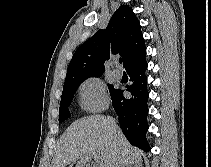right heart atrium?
I'll return each instance as SVG.
<instances>
[{"mask_svg": "<svg viewBox=\"0 0 211 167\" xmlns=\"http://www.w3.org/2000/svg\"><path fill=\"white\" fill-rule=\"evenodd\" d=\"M80 104L90 112L103 109L107 104V94L103 82L96 77L83 81L79 88Z\"/></svg>", "mask_w": 211, "mask_h": 167, "instance_id": "right-heart-atrium-1", "label": "right heart atrium"}]
</instances>
